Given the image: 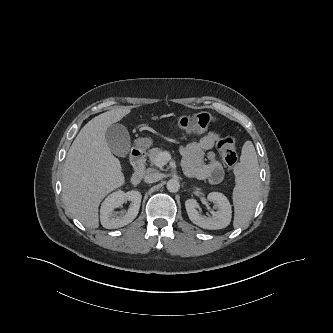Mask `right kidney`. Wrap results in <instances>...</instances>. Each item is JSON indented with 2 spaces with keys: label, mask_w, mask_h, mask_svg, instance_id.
<instances>
[{
  "label": "right kidney",
  "mask_w": 333,
  "mask_h": 333,
  "mask_svg": "<svg viewBox=\"0 0 333 333\" xmlns=\"http://www.w3.org/2000/svg\"><path fill=\"white\" fill-rule=\"evenodd\" d=\"M141 199V193L135 190L127 193L119 190L107 196L100 209L102 226L106 229H116L131 223L138 215ZM127 200L130 201L128 211L117 215L114 211L115 208H118Z\"/></svg>",
  "instance_id": "right-kidney-1"
}]
</instances>
